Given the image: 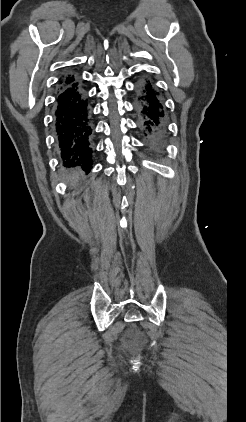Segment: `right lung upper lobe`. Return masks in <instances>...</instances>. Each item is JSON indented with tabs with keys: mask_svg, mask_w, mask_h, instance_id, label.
I'll return each instance as SVG.
<instances>
[{
	"mask_svg": "<svg viewBox=\"0 0 246 422\" xmlns=\"http://www.w3.org/2000/svg\"><path fill=\"white\" fill-rule=\"evenodd\" d=\"M74 80H75L74 75H72V74H67V75H65V76L63 77V79L61 80L60 84H61V85H63V84H68V83H70V82H73Z\"/></svg>",
	"mask_w": 246,
	"mask_h": 422,
	"instance_id": "obj_1",
	"label": "right lung upper lobe"
}]
</instances>
